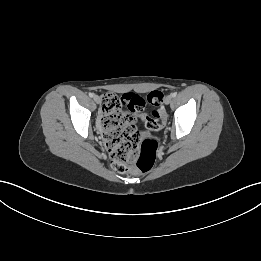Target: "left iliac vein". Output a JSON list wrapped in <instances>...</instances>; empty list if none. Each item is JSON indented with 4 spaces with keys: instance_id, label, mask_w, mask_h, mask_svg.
Returning a JSON list of instances; mask_svg holds the SVG:
<instances>
[{
    "instance_id": "4c4485c4",
    "label": "left iliac vein",
    "mask_w": 261,
    "mask_h": 261,
    "mask_svg": "<svg viewBox=\"0 0 261 261\" xmlns=\"http://www.w3.org/2000/svg\"><path fill=\"white\" fill-rule=\"evenodd\" d=\"M171 102H172V96H171V95L166 96L165 99H164V103H165L166 105H168V104H170Z\"/></svg>"
}]
</instances>
